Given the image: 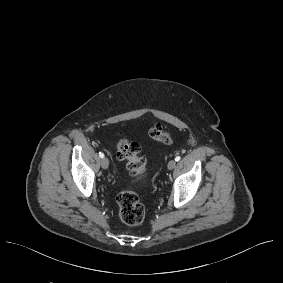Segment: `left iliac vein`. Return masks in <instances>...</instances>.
<instances>
[{
  "instance_id": "4c4485c4",
  "label": "left iliac vein",
  "mask_w": 283,
  "mask_h": 283,
  "mask_svg": "<svg viewBox=\"0 0 283 283\" xmlns=\"http://www.w3.org/2000/svg\"><path fill=\"white\" fill-rule=\"evenodd\" d=\"M176 166V161L175 160H170L168 163V169L172 170Z\"/></svg>"
}]
</instances>
